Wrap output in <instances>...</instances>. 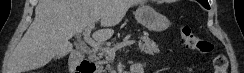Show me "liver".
Masks as SVG:
<instances>
[{
    "label": "liver",
    "instance_id": "obj_1",
    "mask_svg": "<svg viewBox=\"0 0 244 73\" xmlns=\"http://www.w3.org/2000/svg\"><path fill=\"white\" fill-rule=\"evenodd\" d=\"M139 0H39L35 19L15 48L8 73H25L72 52L69 40L90 24L100 21L104 29L93 34L97 41L112 37L111 28Z\"/></svg>",
    "mask_w": 244,
    "mask_h": 73
}]
</instances>
